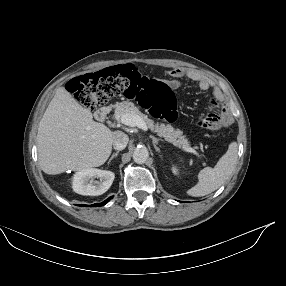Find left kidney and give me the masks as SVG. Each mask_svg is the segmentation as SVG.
<instances>
[{
	"mask_svg": "<svg viewBox=\"0 0 286 286\" xmlns=\"http://www.w3.org/2000/svg\"><path fill=\"white\" fill-rule=\"evenodd\" d=\"M172 171H173V173H174L175 175L178 174V170H177L176 168H173Z\"/></svg>",
	"mask_w": 286,
	"mask_h": 286,
	"instance_id": "1",
	"label": "left kidney"
}]
</instances>
